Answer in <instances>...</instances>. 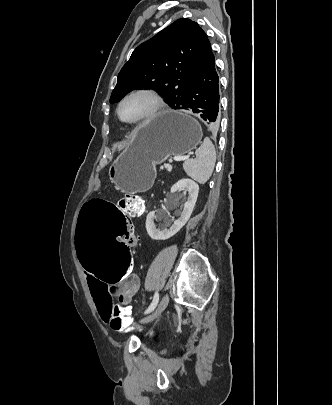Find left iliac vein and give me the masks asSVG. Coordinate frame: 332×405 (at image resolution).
Returning <instances> with one entry per match:
<instances>
[{
	"label": "left iliac vein",
	"mask_w": 332,
	"mask_h": 405,
	"mask_svg": "<svg viewBox=\"0 0 332 405\" xmlns=\"http://www.w3.org/2000/svg\"><path fill=\"white\" fill-rule=\"evenodd\" d=\"M169 303V296L166 294L162 297V299L160 300L157 308L155 309L154 312H152L150 315L144 317L143 319L140 320L141 324H146L149 323L153 320H155L167 307Z\"/></svg>",
	"instance_id": "1"
}]
</instances>
